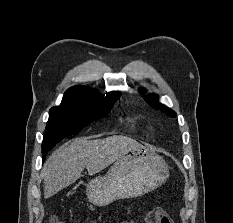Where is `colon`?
Returning a JSON list of instances; mask_svg holds the SVG:
<instances>
[{
	"mask_svg": "<svg viewBox=\"0 0 233 223\" xmlns=\"http://www.w3.org/2000/svg\"><path fill=\"white\" fill-rule=\"evenodd\" d=\"M154 223H174L173 219L163 210L156 209L152 212ZM51 223H59L56 218L51 220Z\"/></svg>",
	"mask_w": 233,
	"mask_h": 223,
	"instance_id": "colon-1",
	"label": "colon"
}]
</instances>
